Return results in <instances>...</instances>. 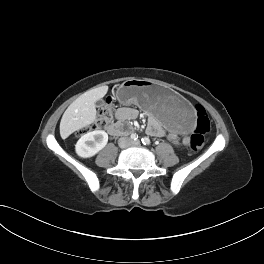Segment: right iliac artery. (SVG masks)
<instances>
[{"label":"right iliac artery","instance_id":"1","mask_svg":"<svg viewBox=\"0 0 264 264\" xmlns=\"http://www.w3.org/2000/svg\"><path fill=\"white\" fill-rule=\"evenodd\" d=\"M130 137H131V139L134 140V141L138 139V135H137L136 133L131 134Z\"/></svg>","mask_w":264,"mask_h":264}]
</instances>
